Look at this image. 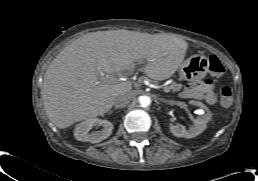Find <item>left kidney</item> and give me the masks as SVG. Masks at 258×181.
I'll return each mask as SVG.
<instances>
[{
  "label": "left kidney",
  "instance_id": "1",
  "mask_svg": "<svg viewBox=\"0 0 258 181\" xmlns=\"http://www.w3.org/2000/svg\"><path fill=\"white\" fill-rule=\"evenodd\" d=\"M190 104L201 108V116L194 119V125L188 130H186L183 126L170 124V131L176 137L194 138L206 129L207 123L211 120V113L202 102L191 100Z\"/></svg>",
  "mask_w": 258,
  "mask_h": 181
}]
</instances>
